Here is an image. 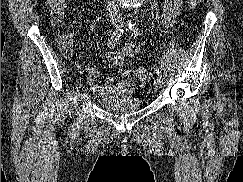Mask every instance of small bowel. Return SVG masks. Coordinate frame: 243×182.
Listing matches in <instances>:
<instances>
[{
    "label": "small bowel",
    "mask_w": 243,
    "mask_h": 182,
    "mask_svg": "<svg viewBox=\"0 0 243 182\" xmlns=\"http://www.w3.org/2000/svg\"><path fill=\"white\" fill-rule=\"evenodd\" d=\"M183 0H163L162 21L166 27L172 26ZM138 47L132 43L119 44V39H109L107 42L105 56L109 67L121 68L118 81L108 80L103 82L100 70L92 65H86L87 82L92 90L106 99L116 100L131 93L134 89L130 81V71L123 68L126 59L134 56Z\"/></svg>",
    "instance_id": "obj_1"
}]
</instances>
